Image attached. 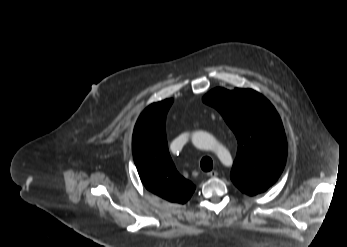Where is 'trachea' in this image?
<instances>
[{
    "instance_id": "1",
    "label": "trachea",
    "mask_w": 347,
    "mask_h": 247,
    "mask_svg": "<svg viewBox=\"0 0 347 247\" xmlns=\"http://www.w3.org/2000/svg\"><path fill=\"white\" fill-rule=\"evenodd\" d=\"M203 171H210L213 168V162L210 157H204L200 162Z\"/></svg>"
}]
</instances>
